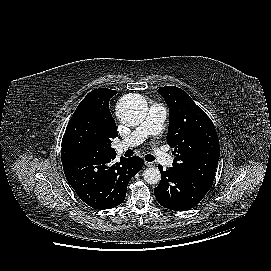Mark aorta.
<instances>
[{"label": "aorta", "mask_w": 271, "mask_h": 271, "mask_svg": "<svg viewBox=\"0 0 271 271\" xmlns=\"http://www.w3.org/2000/svg\"><path fill=\"white\" fill-rule=\"evenodd\" d=\"M147 114V106L138 95L124 96L117 106L119 120L128 126H135L141 123ZM144 180L151 185L159 183L161 174L158 168L148 167L143 172Z\"/></svg>", "instance_id": "1"}]
</instances>
